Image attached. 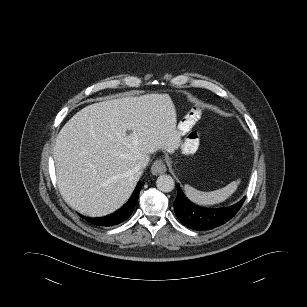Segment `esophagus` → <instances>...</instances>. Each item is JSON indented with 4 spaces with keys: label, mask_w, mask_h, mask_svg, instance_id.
I'll return each mask as SVG.
<instances>
[{
    "label": "esophagus",
    "mask_w": 307,
    "mask_h": 307,
    "mask_svg": "<svg viewBox=\"0 0 307 307\" xmlns=\"http://www.w3.org/2000/svg\"><path fill=\"white\" fill-rule=\"evenodd\" d=\"M166 170H167L166 165L164 161L161 159L156 160L151 167V172L153 175L163 174L166 172Z\"/></svg>",
    "instance_id": "obj_1"
}]
</instances>
